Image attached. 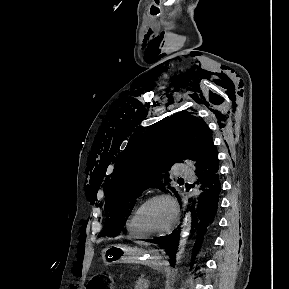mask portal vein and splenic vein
I'll return each mask as SVG.
<instances>
[{
  "label": "portal vein and splenic vein",
  "instance_id": "18ae733b",
  "mask_svg": "<svg viewBox=\"0 0 289 289\" xmlns=\"http://www.w3.org/2000/svg\"><path fill=\"white\" fill-rule=\"evenodd\" d=\"M145 289L148 287V285H144Z\"/></svg>",
  "mask_w": 289,
  "mask_h": 289
}]
</instances>
